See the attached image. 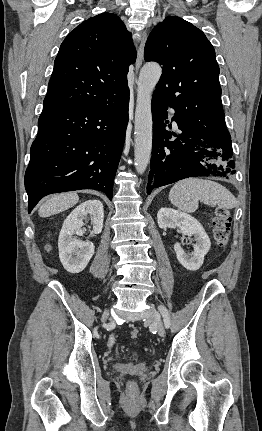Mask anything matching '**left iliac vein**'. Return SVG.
Instances as JSON below:
<instances>
[{"label":"left iliac vein","instance_id":"1","mask_svg":"<svg viewBox=\"0 0 262 431\" xmlns=\"http://www.w3.org/2000/svg\"><path fill=\"white\" fill-rule=\"evenodd\" d=\"M148 317H147V321L151 324H153L158 332L159 336H164L165 335V327L160 319V314L159 312L154 308H150V310L147 313Z\"/></svg>","mask_w":262,"mask_h":431}]
</instances>
